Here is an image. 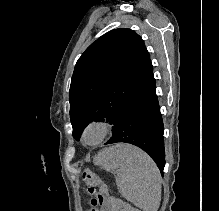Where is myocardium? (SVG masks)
I'll list each match as a JSON object with an SVG mask.
<instances>
[{
    "label": "myocardium",
    "instance_id": "myocardium-1",
    "mask_svg": "<svg viewBox=\"0 0 219 211\" xmlns=\"http://www.w3.org/2000/svg\"><path fill=\"white\" fill-rule=\"evenodd\" d=\"M110 125L102 120H92L83 129L81 140L86 146H97L106 138ZM93 136L89 139V136Z\"/></svg>",
    "mask_w": 219,
    "mask_h": 211
}]
</instances>
